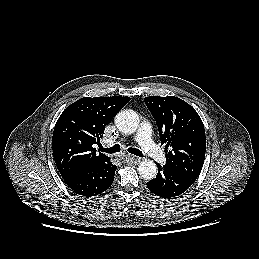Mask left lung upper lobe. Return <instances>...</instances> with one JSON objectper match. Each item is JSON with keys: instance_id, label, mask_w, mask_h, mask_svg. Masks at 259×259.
I'll return each instance as SVG.
<instances>
[{"instance_id": "5c2ea615", "label": "left lung upper lobe", "mask_w": 259, "mask_h": 259, "mask_svg": "<svg viewBox=\"0 0 259 259\" xmlns=\"http://www.w3.org/2000/svg\"><path fill=\"white\" fill-rule=\"evenodd\" d=\"M144 101L157 123L161 144H165L166 165L194 183L206 151L200 116L192 106L174 96H150Z\"/></svg>"}]
</instances>
